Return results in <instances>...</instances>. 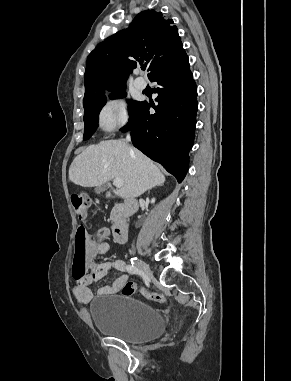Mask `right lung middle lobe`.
<instances>
[{
  "instance_id": "dd1d6c3e",
  "label": "right lung middle lobe",
  "mask_w": 291,
  "mask_h": 381,
  "mask_svg": "<svg viewBox=\"0 0 291 381\" xmlns=\"http://www.w3.org/2000/svg\"><path fill=\"white\" fill-rule=\"evenodd\" d=\"M112 93L109 95L110 98H121L125 97V86L119 87L110 90ZM106 103V96L103 94L97 99L84 104V123H85V129H84V135L83 140L89 139L93 133L95 132L97 125H98V115L102 107ZM140 102L137 101H131V105L129 107L130 113L132 114Z\"/></svg>"
}]
</instances>
